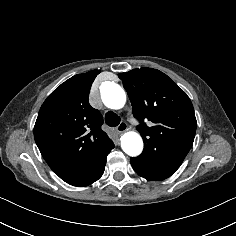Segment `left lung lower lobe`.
<instances>
[{"mask_svg":"<svg viewBox=\"0 0 236 236\" xmlns=\"http://www.w3.org/2000/svg\"><path fill=\"white\" fill-rule=\"evenodd\" d=\"M130 162L138 175L151 181H161L168 178L181 165L178 162L154 160L141 155L131 158Z\"/></svg>","mask_w":236,"mask_h":236,"instance_id":"1","label":"left lung lower lobe"}]
</instances>
